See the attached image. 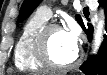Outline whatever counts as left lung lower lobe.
<instances>
[{"label":"left lung lower lobe","instance_id":"obj_1","mask_svg":"<svg viewBox=\"0 0 107 75\" xmlns=\"http://www.w3.org/2000/svg\"><path fill=\"white\" fill-rule=\"evenodd\" d=\"M99 3L105 7V15L107 22V1L99 0ZM87 25L88 26L85 27L83 24L82 28L87 33L88 39L90 41L92 39L93 27L91 24ZM80 70L83 71L86 75H107V37L104 39V42L100 47L99 55L88 58V60L80 66Z\"/></svg>","mask_w":107,"mask_h":75}]
</instances>
